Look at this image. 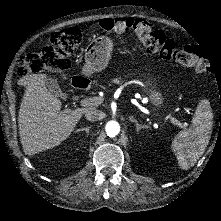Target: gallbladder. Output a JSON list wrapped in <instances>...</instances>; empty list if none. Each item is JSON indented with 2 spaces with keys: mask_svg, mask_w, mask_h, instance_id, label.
<instances>
[{
  "mask_svg": "<svg viewBox=\"0 0 221 221\" xmlns=\"http://www.w3.org/2000/svg\"><path fill=\"white\" fill-rule=\"evenodd\" d=\"M46 87L54 96L63 97L64 93L61 91L56 79L46 78Z\"/></svg>",
  "mask_w": 221,
  "mask_h": 221,
  "instance_id": "1",
  "label": "gallbladder"
}]
</instances>
